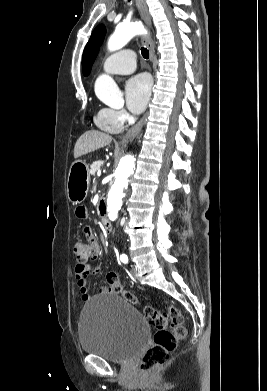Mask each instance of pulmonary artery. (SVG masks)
Segmentation results:
<instances>
[{"label":"pulmonary artery","mask_w":267,"mask_h":391,"mask_svg":"<svg viewBox=\"0 0 267 391\" xmlns=\"http://www.w3.org/2000/svg\"><path fill=\"white\" fill-rule=\"evenodd\" d=\"M102 69L108 74H129L136 69V56L130 49H123L108 56Z\"/></svg>","instance_id":"1"}]
</instances>
